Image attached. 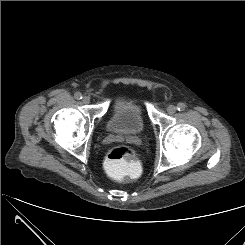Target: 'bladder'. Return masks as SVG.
I'll return each mask as SVG.
<instances>
[{
  "mask_svg": "<svg viewBox=\"0 0 245 245\" xmlns=\"http://www.w3.org/2000/svg\"><path fill=\"white\" fill-rule=\"evenodd\" d=\"M145 127V116L138 99L131 95L120 96L116 109L107 121V129L113 133H140Z\"/></svg>",
  "mask_w": 245,
  "mask_h": 245,
  "instance_id": "31cf9c89",
  "label": "bladder"
}]
</instances>
